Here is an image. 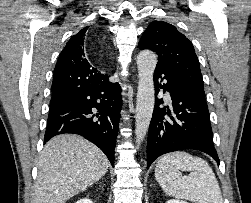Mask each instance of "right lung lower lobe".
I'll return each mask as SVG.
<instances>
[{
  "instance_id": "obj_1",
  "label": "right lung lower lobe",
  "mask_w": 251,
  "mask_h": 203,
  "mask_svg": "<svg viewBox=\"0 0 251 203\" xmlns=\"http://www.w3.org/2000/svg\"><path fill=\"white\" fill-rule=\"evenodd\" d=\"M121 106L119 83L107 80L86 86L50 105L44 142L59 134H78L98 146L114 165Z\"/></svg>"
}]
</instances>
